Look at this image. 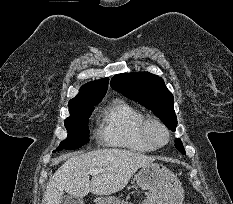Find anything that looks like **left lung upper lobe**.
Returning <instances> with one entry per match:
<instances>
[{
    "mask_svg": "<svg viewBox=\"0 0 233 204\" xmlns=\"http://www.w3.org/2000/svg\"><path fill=\"white\" fill-rule=\"evenodd\" d=\"M110 85L116 91L152 110L171 131H175L177 118L174 99L162 78L148 72L123 73L115 75ZM175 142L177 150L185 154L181 140L176 139Z\"/></svg>",
    "mask_w": 233,
    "mask_h": 204,
    "instance_id": "left-lung-upper-lobe-1",
    "label": "left lung upper lobe"
}]
</instances>
